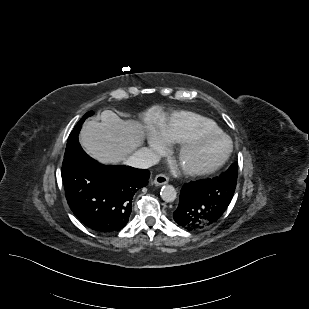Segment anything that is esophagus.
<instances>
[{"instance_id": "obj_1", "label": "esophagus", "mask_w": 309, "mask_h": 309, "mask_svg": "<svg viewBox=\"0 0 309 309\" xmlns=\"http://www.w3.org/2000/svg\"><path fill=\"white\" fill-rule=\"evenodd\" d=\"M169 181V178L164 175V174H158L156 175V177L154 178L153 180V183L155 185H164V184H167Z\"/></svg>"}]
</instances>
